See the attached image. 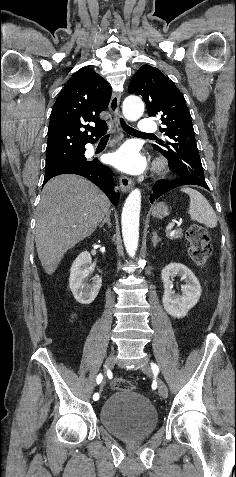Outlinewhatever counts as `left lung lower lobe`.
Returning <instances> with one entry per match:
<instances>
[{
  "label": "left lung lower lobe",
  "instance_id": "obj_1",
  "mask_svg": "<svg viewBox=\"0 0 236 477\" xmlns=\"http://www.w3.org/2000/svg\"><path fill=\"white\" fill-rule=\"evenodd\" d=\"M171 169V168H170ZM174 171V170H173ZM182 185H198L209 190L206 182L193 180L185 177H179L173 180H160L153 186V192L150 196V202H153L155 199H158L161 195L168 192L169 190L176 188Z\"/></svg>",
  "mask_w": 236,
  "mask_h": 477
}]
</instances>
